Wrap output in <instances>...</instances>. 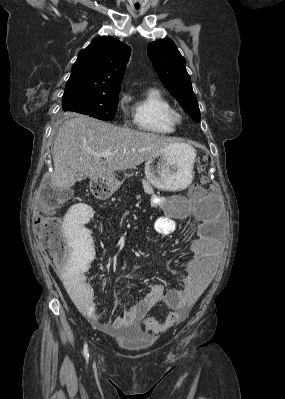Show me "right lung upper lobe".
I'll return each mask as SVG.
<instances>
[{"instance_id":"right-lung-upper-lobe-1","label":"right lung upper lobe","mask_w":285,"mask_h":399,"mask_svg":"<svg viewBox=\"0 0 285 399\" xmlns=\"http://www.w3.org/2000/svg\"><path fill=\"white\" fill-rule=\"evenodd\" d=\"M131 48L121 41L101 36L78 53L64 94L120 92Z\"/></svg>"}]
</instances>
